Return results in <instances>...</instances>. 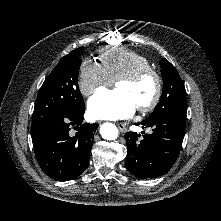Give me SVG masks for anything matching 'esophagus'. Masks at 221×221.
Segmentation results:
<instances>
[{
    "instance_id": "obj_1",
    "label": "esophagus",
    "mask_w": 221,
    "mask_h": 221,
    "mask_svg": "<svg viewBox=\"0 0 221 221\" xmlns=\"http://www.w3.org/2000/svg\"><path fill=\"white\" fill-rule=\"evenodd\" d=\"M117 127L119 128V130L122 133H126L127 132V128H126V126L123 123H117Z\"/></svg>"
}]
</instances>
